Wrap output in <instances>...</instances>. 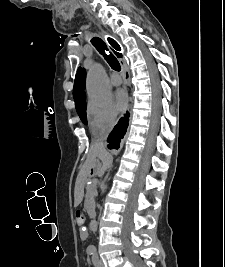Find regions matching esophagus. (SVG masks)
I'll return each instance as SVG.
<instances>
[{"mask_svg":"<svg viewBox=\"0 0 225 267\" xmlns=\"http://www.w3.org/2000/svg\"><path fill=\"white\" fill-rule=\"evenodd\" d=\"M104 38H105L106 42H107L109 45H111L110 42L112 43V41H111L112 37L109 36V35H105ZM122 67H123V70L126 71V68H125L124 63L122 64Z\"/></svg>","mask_w":225,"mask_h":267,"instance_id":"obj_1","label":"esophagus"}]
</instances>
